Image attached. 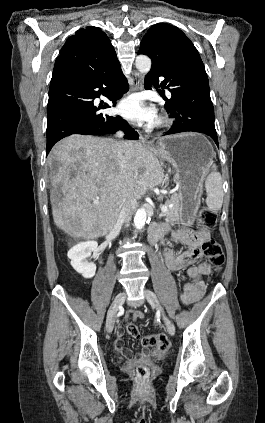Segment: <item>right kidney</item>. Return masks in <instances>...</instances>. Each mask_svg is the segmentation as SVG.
<instances>
[{
  "mask_svg": "<svg viewBox=\"0 0 265 423\" xmlns=\"http://www.w3.org/2000/svg\"><path fill=\"white\" fill-rule=\"evenodd\" d=\"M98 244L96 241H85L76 244L68 251V258L71 259V266L84 278H92L96 272V265L88 262L86 258L96 251Z\"/></svg>",
  "mask_w": 265,
  "mask_h": 423,
  "instance_id": "1",
  "label": "right kidney"
}]
</instances>
